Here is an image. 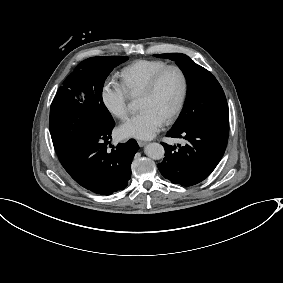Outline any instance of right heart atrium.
<instances>
[{
  "instance_id": "1",
  "label": "right heart atrium",
  "mask_w": 283,
  "mask_h": 283,
  "mask_svg": "<svg viewBox=\"0 0 283 283\" xmlns=\"http://www.w3.org/2000/svg\"><path fill=\"white\" fill-rule=\"evenodd\" d=\"M101 99L114 117L121 120L127 118L129 95L121 82L113 78L104 81L101 87Z\"/></svg>"
}]
</instances>
